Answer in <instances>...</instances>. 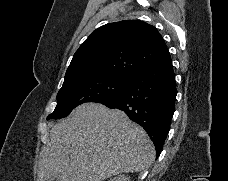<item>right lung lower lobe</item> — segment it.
<instances>
[{
  "instance_id": "obj_1",
  "label": "right lung lower lobe",
  "mask_w": 228,
  "mask_h": 181,
  "mask_svg": "<svg viewBox=\"0 0 228 181\" xmlns=\"http://www.w3.org/2000/svg\"><path fill=\"white\" fill-rule=\"evenodd\" d=\"M176 94L169 56L135 74L120 94L102 104L124 111L132 121L140 124L153 141L158 157L170 129Z\"/></svg>"
}]
</instances>
